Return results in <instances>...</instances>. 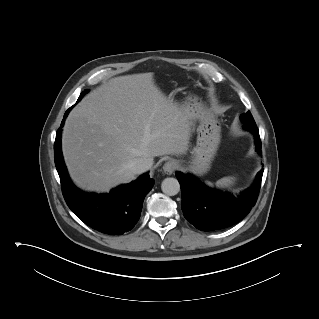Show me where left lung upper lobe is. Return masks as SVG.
Segmentation results:
<instances>
[{
	"mask_svg": "<svg viewBox=\"0 0 319 319\" xmlns=\"http://www.w3.org/2000/svg\"><path fill=\"white\" fill-rule=\"evenodd\" d=\"M240 117L244 125L256 126L255 121L250 112L243 113Z\"/></svg>",
	"mask_w": 319,
	"mask_h": 319,
	"instance_id": "1",
	"label": "left lung upper lobe"
}]
</instances>
